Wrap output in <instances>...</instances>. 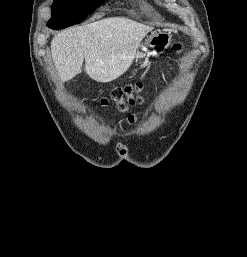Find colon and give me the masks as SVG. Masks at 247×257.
Wrapping results in <instances>:
<instances>
[{
    "label": "colon",
    "mask_w": 247,
    "mask_h": 257,
    "mask_svg": "<svg viewBox=\"0 0 247 257\" xmlns=\"http://www.w3.org/2000/svg\"><path fill=\"white\" fill-rule=\"evenodd\" d=\"M176 50L180 52L182 47L177 45ZM141 89L142 85L140 83L116 88L109 97L102 98L101 103L107 105L110 101L115 102L118 109L121 112H125L129 106L141 102V97L139 96Z\"/></svg>",
    "instance_id": "1"
}]
</instances>
